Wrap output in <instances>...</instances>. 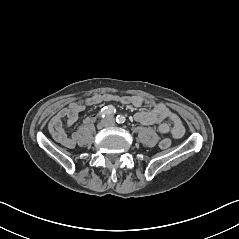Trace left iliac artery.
I'll return each mask as SVG.
<instances>
[{"label": "left iliac artery", "instance_id": "1", "mask_svg": "<svg viewBox=\"0 0 239 239\" xmlns=\"http://www.w3.org/2000/svg\"><path fill=\"white\" fill-rule=\"evenodd\" d=\"M116 121H117V123H119V124H123V123L125 122V117H124L123 115H118V116L116 117Z\"/></svg>", "mask_w": 239, "mask_h": 239}]
</instances>
